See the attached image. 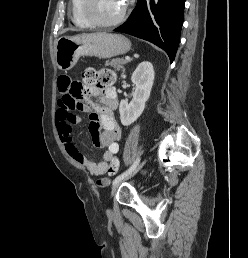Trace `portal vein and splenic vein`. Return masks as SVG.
<instances>
[{"label": "portal vein and splenic vein", "mask_w": 248, "mask_h": 258, "mask_svg": "<svg viewBox=\"0 0 248 258\" xmlns=\"http://www.w3.org/2000/svg\"><path fill=\"white\" fill-rule=\"evenodd\" d=\"M125 60L130 61L131 58H130L129 56H126V57H125Z\"/></svg>", "instance_id": "obj_1"}]
</instances>
